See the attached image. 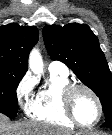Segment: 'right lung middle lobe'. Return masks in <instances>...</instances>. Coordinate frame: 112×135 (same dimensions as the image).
<instances>
[{"mask_svg": "<svg viewBox=\"0 0 112 135\" xmlns=\"http://www.w3.org/2000/svg\"><path fill=\"white\" fill-rule=\"evenodd\" d=\"M24 74H0V112L15 118L18 112L16 88Z\"/></svg>", "mask_w": 112, "mask_h": 135, "instance_id": "obj_1", "label": "right lung middle lobe"}]
</instances>
